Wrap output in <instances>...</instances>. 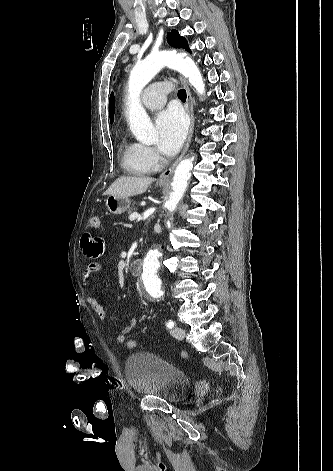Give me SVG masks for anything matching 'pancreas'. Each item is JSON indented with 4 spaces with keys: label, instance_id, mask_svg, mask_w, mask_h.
Segmentation results:
<instances>
[{
    "label": "pancreas",
    "instance_id": "obj_1",
    "mask_svg": "<svg viewBox=\"0 0 333 471\" xmlns=\"http://www.w3.org/2000/svg\"><path fill=\"white\" fill-rule=\"evenodd\" d=\"M136 203L133 204L131 208L128 209V214H131L135 210Z\"/></svg>",
    "mask_w": 333,
    "mask_h": 471
}]
</instances>
